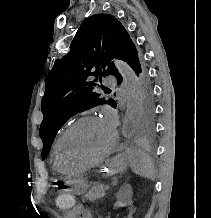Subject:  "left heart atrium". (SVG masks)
Returning a JSON list of instances; mask_svg holds the SVG:
<instances>
[{"instance_id": "left-heart-atrium-1", "label": "left heart atrium", "mask_w": 211, "mask_h": 218, "mask_svg": "<svg viewBox=\"0 0 211 218\" xmlns=\"http://www.w3.org/2000/svg\"><path fill=\"white\" fill-rule=\"evenodd\" d=\"M104 123L109 126L111 129L114 127L115 124V114L111 109H104L103 110V119Z\"/></svg>"}]
</instances>
